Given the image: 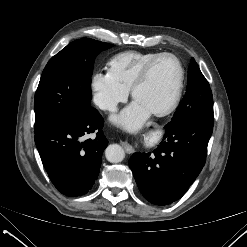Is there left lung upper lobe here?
<instances>
[{"mask_svg":"<svg viewBox=\"0 0 247 247\" xmlns=\"http://www.w3.org/2000/svg\"><path fill=\"white\" fill-rule=\"evenodd\" d=\"M189 117L214 122L212 91L194 58L191 59L188 69L186 94L172 120L164 128L173 127L178 121Z\"/></svg>","mask_w":247,"mask_h":247,"instance_id":"5c2ea615","label":"left lung upper lobe"}]
</instances>
